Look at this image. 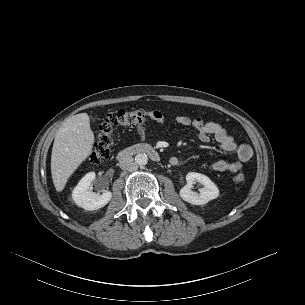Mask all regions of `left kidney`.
Here are the masks:
<instances>
[{"label": "left kidney", "mask_w": 305, "mask_h": 305, "mask_svg": "<svg viewBox=\"0 0 305 305\" xmlns=\"http://www.w3.org/2000/svg\"><path fill=\"white\" fill-rule=\"evenodd\" d=\"M186 182V185L180 190V197L192 205H203L219 196L217 186L204 174L189 172L186 175ZM196 182L203 185L199 189V193L192 190L193 184Z\"/></svg>", "instance_id": "5707ae66"}]
</instances>
